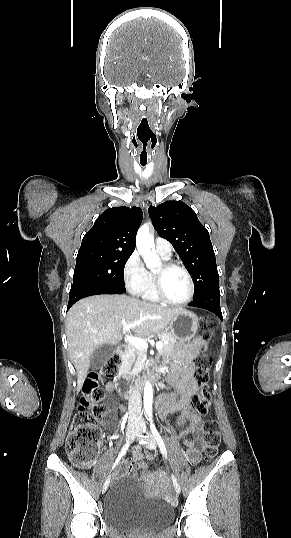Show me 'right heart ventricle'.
I'll return each mask as SVG.
<instances>
[{"mask_svg": "<svg viewBox=\"0 0 291 538\" xmlns=\"http://www.w3.org/2000/svg\"><path fill=\"white\" fill-rule=\"evenodd\" d=\"M164 260H169L170 257H164L163 255L159 254ZM141 297L150 302H159L160 299L156 295L155 289H154V281H153V273L148 272V278L147 283L145 285V288L143 292L141 293Z\"/></svg>", "mask_w": 291, "mask_h": 538, "instance_id": "obj_1", "label": "right heart ventricle"}]
</instances>
